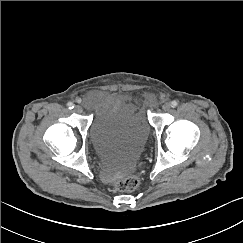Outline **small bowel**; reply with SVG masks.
Returning a JSON list of instances; mask_svg holds the SVG:
<instances>
[{
	"instance_id": "1",
	"label": "small bowel",
	"mask_w": 243,
	"mask_h": 243,
	"mask_svg": "<svg viewBox=\"0 0 243 243\" xmlns=\"http://www.w3.org/2000/svg\"><path fill=\"white\" fill-rule=\"evenodd\" d=\"M116 97L117 96L114 93L96 91L87 96L86 102L90 105V107L99 110L113 102Z\"/></svg>"
}]
</instances>
